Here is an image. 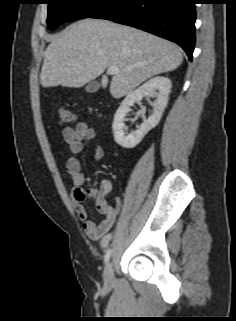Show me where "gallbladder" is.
<instances>
[{
	"label": "gallbladder",
	"instance_id": "gallbladder-1",
	"mask_svg": "<svg viewBox=\"0 0 236 321\" xmlns=\"http://www.w3.org/2000/svg\"><path fill=\"white\" fill-rule=\"evenodd\" d=\"M99 88V83L97 81H91L86 86V91L89 93H95Z\"/></svg>",
	"mask_w": 236,
	"mask_h": 321
}]
</instances>
